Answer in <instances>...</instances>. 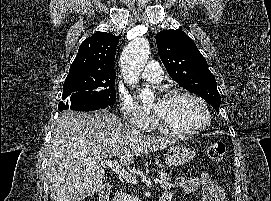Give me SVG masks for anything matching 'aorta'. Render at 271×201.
Masks as SVG:
<instances>
[{
    "mask_svg": "<svg viewBox=\"0 0 271 201\" xmlns=\"http://www.w3.org/2000/svg\"><path fill=\"white\" fill-rule=\"evenodd\" d=\"M150 46L145 37H138L133 39L124 49L121 58L120 66L126 79L132 83L134 82L149 58ZM139 98L148 103L153 100V93L148 89H144L139 93Z\"/></svg>",
    "mask_w": 271,
    "mask_h": 201,
    "instance_id": "1",
    "label": "aorta"
}]
</instances>
